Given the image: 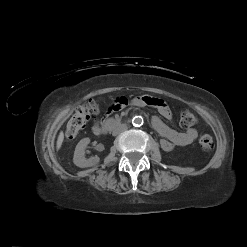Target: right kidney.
<instances>
[{"mask_svg":"<svg viewBox=\"0 0 247 247\" xmlns=\"http://www.w3.org/2000/svg\"><path fill=\"white\" fill-rule=\"evenodd\" d=\"M90 143L89 138H83L79 141L75 148L74 157H73V163L80 167V168H87L95 166L99 163L100 158L98 156L91 157L89 159H86L84 157L85 154V148Z\"/></svg>","mask_w":247,"mask_h":247,"instance_id":"ca27d5eb","label":"right kidney"}]
</instances>
